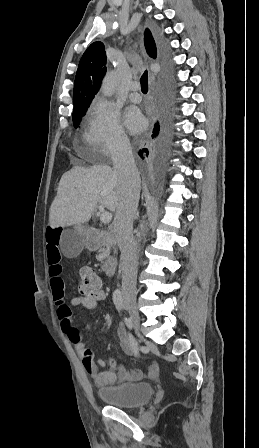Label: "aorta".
Masks as SVG:
<instances>
[{"instance_id":"aorta-1","label":"aorta","mask_w":259,"mask_h":448,"mask_svg":"<svg viewBox=\"0 0 259 448\" xmlns=\"http://www.w3.org/2000/svg\"><path fill=\"white\" fill-rule=\"evenodd\" d=\"M117 78L114 72H109L102 82L101 90L104 96H111L116 88Z\"/></svg>"}]
</instances>
